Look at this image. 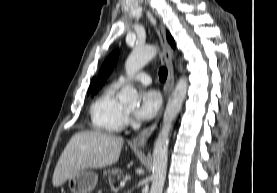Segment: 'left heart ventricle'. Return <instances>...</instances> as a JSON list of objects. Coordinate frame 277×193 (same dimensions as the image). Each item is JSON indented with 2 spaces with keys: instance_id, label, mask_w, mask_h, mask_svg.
<instances>
[{
  "instance_id": "obj_1",
  "label": "left heart ventricle",
  "mask_w": 277,
  "mask_h": 193,
  "mask_svg": "<svg viewBox=\"0 0 277 193\" xmlns=\"http://www.w3.org/2000/svg\"><path fill=\"white\" fill-rule=\"evenodd\" d=\"M127 110H129V111H130V110H132V108H128Z\"/></svg>"
}]
</instances>
